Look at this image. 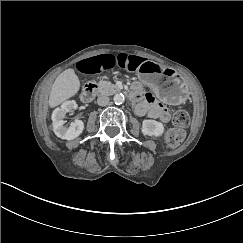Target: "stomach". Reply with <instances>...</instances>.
Listing matches in <instances>:
<instances>
[{
  "label": "stomach",
  "mask_w": 243,
  "mask_h": 243,
  "mask_svg": "<svg viewBox=\"0 0 243 243\" xmlns=\"http://www.w3.org/2000/svg\"><path fill=\"white\" fill-rule=\"evenodd\" d=\"M138 78L165 103L178 105L187 98L185 82L172 68L162 67L153 61H145L138 69Z\"/></svg>",
  "instance_id": "0dacf381"
}]
</instances>
